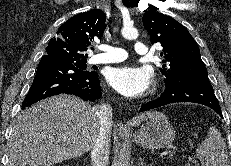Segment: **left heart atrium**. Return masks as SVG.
Masks as SVG:
<instances>
[{
  "instance_id": "obj_1",
  "label": "left heart atrium",
  "mask_w": 231,
  "mask_h": 166,
  "mask_svg": "<svg viewBox=\"0 0 231 166\" xmlns=\"http://www.w3.org/2000/svg\"><path fill=\"white\" fill-rule=\"evenodd\" d=\"M107 81L120 94L134 98L147 92L152 84L153 74L147 67L123 65L111 68L107 75Z\"/></svg>"
}]
</instances>
